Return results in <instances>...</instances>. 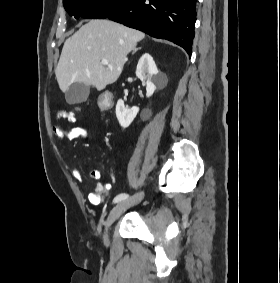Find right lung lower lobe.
<instances>
[{
    "label": "right lung lower lobe",
    "mask_w": 280,
    "mask_h": 283,
    "mask_svg": "<svg viewBox=\"0 0 280 283\" xmlns=\"http://www.w3.org/2000/svg\"><path fill=\"white\" fill-rule=\"evenodd\" d=\"M107 18L172 41L191 55L196 0H131Z\"/></svg>",
    "instance_id": "obj_1"
}]
</instances>
